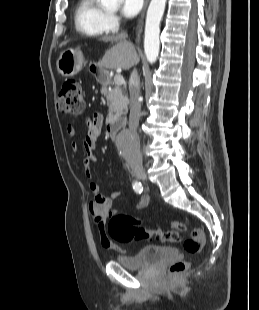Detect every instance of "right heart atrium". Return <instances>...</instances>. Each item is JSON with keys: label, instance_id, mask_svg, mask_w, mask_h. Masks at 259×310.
Segmentation results:
<instances>
[{"label": "right heart atrium", "instance_id": "d8ad5b80", "mask_svg": "<svg viewBox=\"0 0 259 310\" xmlns=\"http://www.w3.org/2000/svg\"><path fill=\"white\" fill-rule=\"evenodd\" d=\"M120 26V19L114 13H108L106 16V28L108 31H115Z\"/></svg>", "mask_w": 259, "mask_h": 310}]
</instances>
